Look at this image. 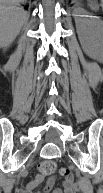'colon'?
<instances>
[{
	"label": "colon",
	"mask_w": 103,
	"mask_h": 193,
	"mask_svg": "<svg viewBox=\"0 0 103 193\" xmlns=\"http://www.w3.org/2000/svg\"><path fill=\"white\" fill-rule=\"evenodd\" d=\"M39 172L45 176H50L59 172V174L64 178L70 177V172L67 169H59L57 168L56 164L51 160H45L38 166Z\"/></svg>",
	"instance_id": "colon-1"
}]
</instances>
